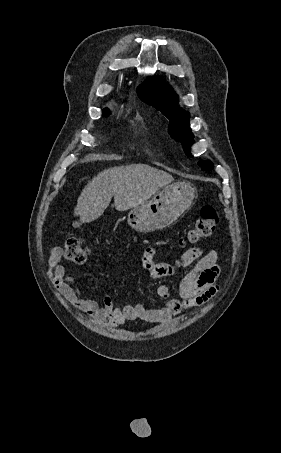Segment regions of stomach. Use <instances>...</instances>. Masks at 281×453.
I'll return each instance as SVG.
<instances>
[{"instance_id": "1", "label": "stomach", "mask_w": 281, "mask_h": 453, "mask_svg": "<svg viewBox=\"0 0 281 453\" xmlns=\"http://www.w3.org/2000/svg\"><path fill=\"white\" fill-rule=\"evenodd\" d=\"M196 196V188L191 182L182 180L166 184L151 200L134 206L128 212V224L138 233L167 229L187 208H191Z\"/></svg>"}]
</instances>
